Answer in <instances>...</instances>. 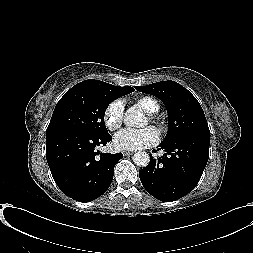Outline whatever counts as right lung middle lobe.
Segmentation results:
<instances>
[{
	"label": "right lung middle lobe",
	"instance_id": "right-lung-middle-lobe-1",
	"mask_svg": "<svg viewBox=\"0 0 253 253\" xmlns=\"http://www.w3.org/2000/svg\"><path fill=\"white\" fill-rule=\"evenodd\" d=\"M131 92L133 90L128 87L110 84H76L57 103L46 136L64 131L92 135L108 133L104 123V114L108 105Z\"/></svg>",
	"mask_w": 253,
	"mask_h": 253
}]
</instances>
